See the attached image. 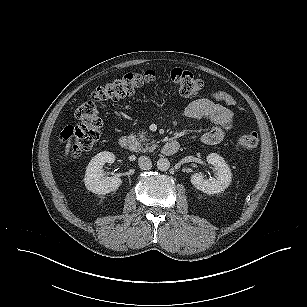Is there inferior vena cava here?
<instances>
[{"label":"inferior vena cava","instance_id":"inferior-vena-cava-1","mask_svg":"<svg viewBox=\"0 0 307 307\" xmlns=\"http://www.w3.org/2000/svg\"><path fill=\"white\" fill-rule=\"evenodd\" d=\"M138 165L142 170H149L152 168L151 159L147 156H140L138 158Z\"/></svg>","mask_w":307,"mask_h":307}]
</instances>
